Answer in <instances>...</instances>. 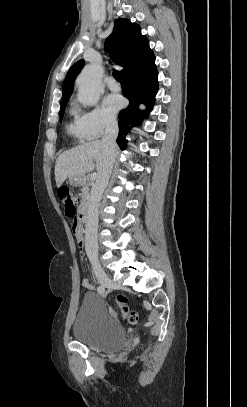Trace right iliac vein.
Wrapping results in <instances>:
<instances>
[{
	"instance_id": "1",
	"label": "right iliac vein",
	"mask_w": 247,
	"mask_h": 407,
	"mask_svg": "<svg viewBox=\"0 0 247 407\" xmlns=\"http://www.w3.org/2000/svg\"><path fill=\"white\" fill-rule=\"evenodd\" d=\"M94 272L97 280L101 285L107 288L115 289L119 285L114 282L102 269L99 265L94 266Z\"/></svg>"
}]
</instances>
